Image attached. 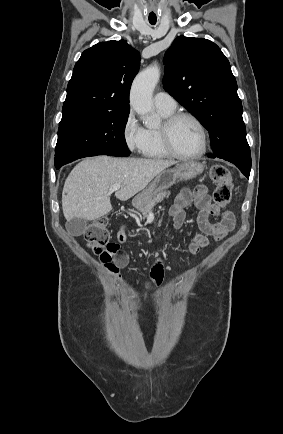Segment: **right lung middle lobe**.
Wrapping results in <instances>:
<instances>
[{
    "label": "right lung middle lobe",
    "instance_id": "obj_1",
    "mask_svg": "<svg viewBox=\"0 0 283 434\" xmlns=\"http://www.w3.org/2000/svg\"><path fill=\"white\" fill-rule=\"evenodd\" d=\"M129 111L74 114L62 117L55 148V167L96 156H129L124 129Z\"/></svg>",
    "mask_w": 283,
    "mask_h": 434
}]
</instances>
